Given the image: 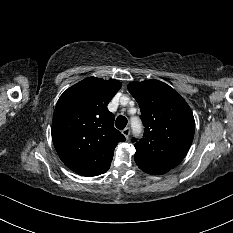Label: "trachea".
Returning <instances> with one entry per match:
<instances>
[{
    "instance_id": "trachea-1",
    "label": "trachea",
    "mask_w": 233,
    "mask_h": 233,
    "mask_svg": "<svg viewBox=\"0 0 233 233\" xmlns=\"http://www.w3.org/2000/svg\"><path fill=\"white\" fill-rule=\"evenodd\" d=\"M127 122L128 121H127V118L125 116H118L116 119L115 125L119 130H122L126 127Z\"/></svg>"
}]
</instances>
